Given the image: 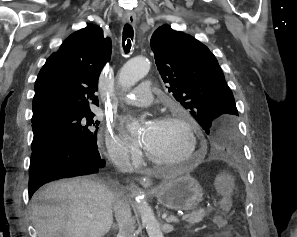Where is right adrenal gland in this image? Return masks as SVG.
Returning <instances> with one entry per match:
<instances>
[{
    "label": "right adrenal gland",
    "mask_w": 297,
    "mask_h": 237,
    "mask_svg": "<svg viewBox=\"0 0 297 237\" xmlns=\"http://www.w3.org/2000/svg\"><path fill=\"white\" fill-rule=\"evenodd\" d=\"M112 227H113V229H117V225H115V224H113Z\"/></svg>",
    "instance_id": "right-adrenal-gland-1"
}]
</instances>
